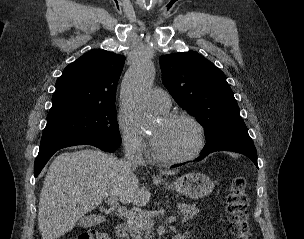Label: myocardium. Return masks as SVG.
Returning <instances> with one entry per match:
<instances>
[{"label":"myocardium","instance_id":"1","mask_svg":"<svg viewBox=\"0 0 304 239\" xmlns=\"http://www.w3.org/2000/svg\"><path fill=\"white\" fill-rule=\"evenodd\" d=\"M163 120L165 122H173L177 120H185L189 122L190 124L193 125V127L196 130V144L193 147V149L179 157H166L158 154L156 150L154 149L153 151V157L154 159L162 164H168V165H174V164H182L186 163L188 161H191L198 157V155L201 153V151L204 149L206 145V132L204 126L201 124V122L194 117L193 115L187 113V112H173V113H168L163 116Z\"/></svg>","mask_w":304,"mask_h":239}]
</instances>
